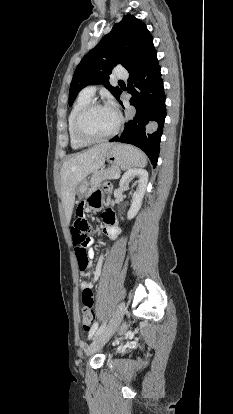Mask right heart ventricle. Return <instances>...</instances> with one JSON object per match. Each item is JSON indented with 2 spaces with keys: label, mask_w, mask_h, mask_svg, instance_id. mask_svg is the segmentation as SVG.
Wrapping results in <instances>:
<instances>
[{
  "label": "right heart ventricle",
  "mask_w": 233,
  "mask_h": 414,
  "mask_svg": "<svg viewBox=\"0 0 233 414\" xmlns=\"http://www.w3.org/2000/svg\"><path fill=\"white\" fill-rule=\"evenodd\" d=\"M92 100V97L84 94L83 92L78 96V98L76 99L70 113L68 116V134H69V139H70V144L72 146L73 149H83L85 147H87L89 144L88 143H84L79 141L74 134L73 131V125H74V121L75 118L77 116V114L79 113V111L86 105L88 104L90 101Z\"/></svg>",
  "instance_id": "1"
}]
</instances>
